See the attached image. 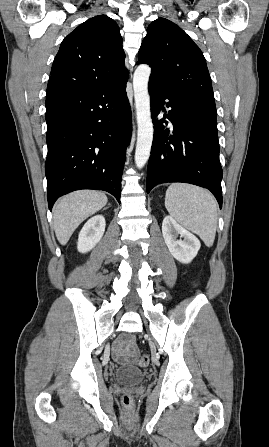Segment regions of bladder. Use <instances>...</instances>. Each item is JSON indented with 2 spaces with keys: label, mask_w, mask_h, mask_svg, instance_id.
<instances>
[{
  "label": "bladder",
  "mask_w": 269,
  "mask_h": 447,
  "mask_svg": "<svg viewBox=\"0 0 269 447\" xmlns=\"http://www.w3.org/2000/svg\"><path fill=\"white\" fill-rule=\"evenodd\" d=\"M145 373L143 370L130 365H120L118 366L115 374L114 380L119 384H136L144 380Z\"/></svg>",
  "instance_id": "31cf9c89"
}]
</instances>
